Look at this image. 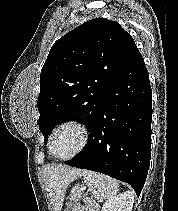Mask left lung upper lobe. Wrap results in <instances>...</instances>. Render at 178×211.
<instances>
[{
	"instance_id": "5c2ea615",
	"label": "left lung upper lobe",
	"mask_w": 178,
	"mask_h": 211,
	"mask_svg": "<svg viewBox=\"0 0 178 211\" xmlns=\"http://www.w3.org/2000/svg\"><path fill=\"white\" fill-rule=\"evenodd\" d=\"M137 49L119 23L85 22L52 46L40 75L39 129L45 137L65 121L91 130L112 82Z\"/></svg>"
}]
</instances>
